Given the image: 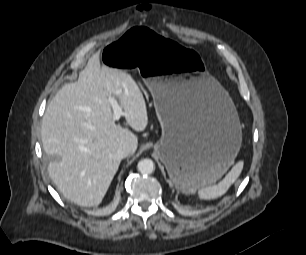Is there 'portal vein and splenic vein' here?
Listing matches in <instances>:
<instances>
[{
  "mask_svg": "<svg viewBox=\"0 0 306 255\" xmlns=\"http://www.w3.org/2000/svg\"><path fill=\"white\" fill-rule=\"evenodd\" d=\"M108 101L110 102L113 109V121H117L120 119L121 116L125 115L121 106L114 97H109Z\"/></svg>",
  "mask_w": 306,
  "mask_h": 255,
  "instance_id": "obj_1",
  "label": "portal vein and splenic vein"
}]
</instances>
